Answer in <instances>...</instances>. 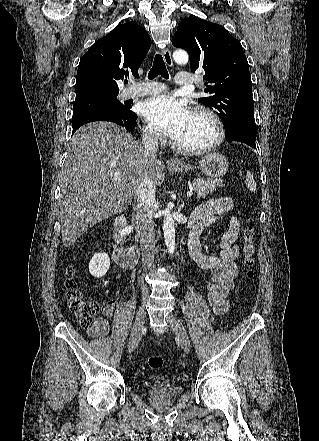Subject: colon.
<instances>
[{"mask_svg":"<svg viewBox=\"0 0 319 441\" xmlns=\"http://www.w3.org/2000/svg\"><path fill=\"white\" fill-rule=\"evenodd\" d=\"M251 224L252 220H248V225L243 229L242 232L244 240L243 262L246 266V275L248 278H252L254 276L253 266L255 263V230ZM67 273L69 277L64 284L67 304L81 326L85 328H92L96 322V315L99 311V306L97 303L88 300L84 296L76 280L73 278V269H68ZM148 365L153 370L161 369L163 366V358L159 356H152L148 359Z\"/></svg>","mask_w":319,"mask_h":441,"instance_id":"obj_1","label":"colon"}]
</instances>
